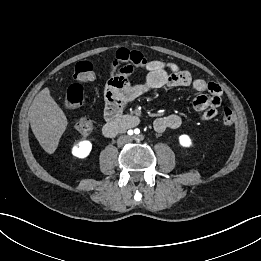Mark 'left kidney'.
I'll use <instances>...</instances> for the list:
<instances>
[{
  "label": "left kidney",
  "mask_w": 261,
  "mask_h": 261,
  "mask_svg": "<svg viewBox=\"0 0 261 261\" xmlns=\"http://www.w3.org/2000/svg\"><path fill=\"white\" fill-rule=\"evenodd\" d=\"M179 143L181 146L183 147H190L192 146V140L191 138L186 135V134H183V135H180L179 136Z\"/></svg>",
  "instance_id": "1"
}]
</instances>
